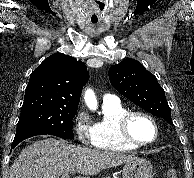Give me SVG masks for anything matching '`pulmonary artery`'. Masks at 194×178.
Listing matches in <instances>:
<instances>
[{
    "instance_id": "e3ab8cb5",
    "label": "pulmonary artery",
    "mask_w": 194,
    "mask_h": 178,
    "mask_svg": "<svg viewBox=\"0 0 194 178\" xmlns=\"http://www.w3.org/2000/svg\"><path fill=\"white\" fill-rule=\"evenodd\" d=\"M113 100H116V97L111 94H107L103 97V101H113Z\"/></svg>"
}]
</instances>
